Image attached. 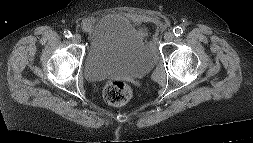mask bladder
I'll list each match as a JSON object with an SVG mask.
<instances>
[{
  "label": "bladder",
  "instance_id": "1",
  "mask_svg": "<svg viewBox=\"0 0 253 143\" xmlns=\"http://www.w3.org/2000/svg\"><path fill=\"white\" fill-rule=\"evenodd\" d=\"M155 65L147 37L119 13L97 18L88 33L84 72L89 81L140 78Z\"/></svg>",
  "mask_w": 253,
  "mask_h": 143
}]
</instances>
